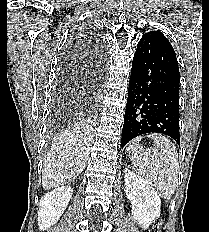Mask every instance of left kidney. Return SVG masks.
I'll return each instance as SVG.
<instances>
[{
	"label": "left kidney",
	"mask_w": 209,
	"mask_h": 232,
	"mask_svg": "<svg viewBox=\"0 0 209 232\" xmlns=\"http://www.w3.org/2000/svg\"><path fill=\"white\" fill-rule=\"evenodd\" d=\"M125 194L132 205V215L142 227L147 228L160 216L159 193L150 183L125 168Z\"/></svg>",
	"instance_id": "1"
}]
</instances>
